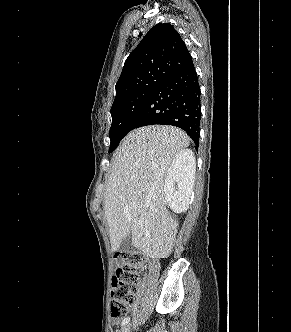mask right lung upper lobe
I'll return each instance as SVG.
<instances>
[{
  "mask_svg": "<svg viewBox=\"0 0 291 332\" xmlns=\"http://www.w3.org/2000/svg\"><path fill=\"white\" fill-rule=\"evenodd\" d=\"M191 63L192 57L179 33L171 24L159 23L126 59L114 100L147 89L152 82L162 81Z\"/></svg>",
  "mask_w": 291,
  "mask_h": 332,
  "instance_id": "1",
  "label": "right lung upper lobe"
}]
</instances>
